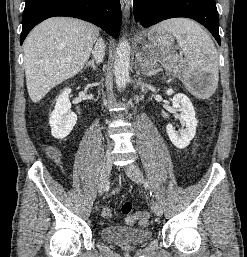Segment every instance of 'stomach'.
Segmentation results:
<instances>
[{
	"label": "stomach",
	"mask_w": 247,
	"mask_h": 257,
	"mask_svg": "<svg viewBox=\"0 0 247 257\" xmlns=\"http://www.w3.org/2000/svg\"><path fill=\"white\" fill-rule=\"evenodd\" d=\"M149 42L143 40V45L137 53V61L145 71L154 67L157 62L162 63L178 75L183 81L193 86V79L188 73L186 65L175 59L172 50L173 37L166 32L154 33L149 31Z\"/></svg>",
	"instance_id": "0dacf381"
}]
</instances>
